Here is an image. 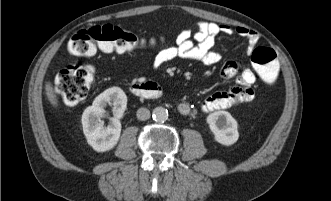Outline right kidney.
I'll use <instances>...</instances> for the list:
<instances>
[{
  "label": "right kidney",
  "instance_id": "right-kidney-1",
  "mask_svg": "<svg viewBox=\"0 0 331 201\" xmlns=\"http://www.w3.org/2000/svg\"><path fill=\"white\" fill-rule=\"evenodd\" d=\"M113 105L114 117L108 126H104L101 118L105 115V107ZM127 97L119 87H112L98 95L92 106L87 107L82 114L83 132L88 144L97 152L113 149L121 134L119 119L126 110Z\"/></svg>",
  "mask_w": 331,
  "mask_h": 201
}]
</instances>
